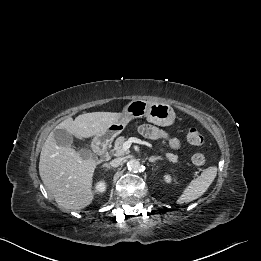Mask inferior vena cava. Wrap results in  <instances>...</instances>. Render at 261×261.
Masks as SVG:
<instances>
[{
    "label": "inferior vena cava",
    "instance_id": "602c4592",
    "mask_svg": "<svg viewBox=\"0 0 261 261\" xmlns=\"http://www.w3.org/2000/svg\"><path fill=\"white\" fill-rule=\"evenodd\" d=\"M122 158H116V159H113L109 165L112 166V167H118L122 164Z\"/></svg>",
    "mask_w": 261,
    "mask_h": 261
}]
</instances>
